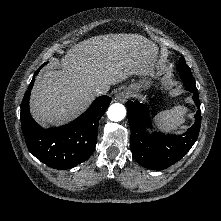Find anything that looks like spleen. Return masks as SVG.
I'll list each match as a JSON object with an SVG mask.
<instances>
[{
	"mask_svg": "<svg viewBox=\"0 0 221 221\" xmlns=\"http://www.w3.org/2000/svg\"><path fill=\"white\" fill-rule=\"evenodd\" d=\"M188 109L183 105H177L170 110L158 113L154 120L158 128L163 131H175L185 122Z\"/></svg>",
	"mask_w": 221,
	"mask_h": 221,
	"instance_id": "3e777b00",
	"label": "spleen"
}]
</instances>
